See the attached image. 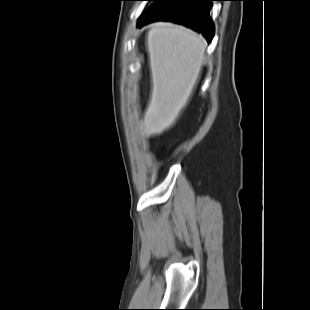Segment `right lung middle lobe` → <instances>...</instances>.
Wrapping results in <instances>:
<instances>
[{"label": "right lung middle lobe", "mask_w": 310, "mask_h": 310, "mask_svg": "<svg viewBox=\"0 0 310 310\" xmlns=\"http://www.w3.org/2000/svg\"><path fill=\"white\" fill-rule=\"evenodd\" d=\"M152 1H154L151 5H153L154 3H156V2H159V1H161V0H152ZM150 5V6H151Z\"/></svg>", "instance_id": "dd1d6c3e"}]
</instances>
